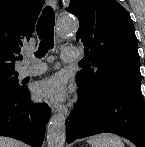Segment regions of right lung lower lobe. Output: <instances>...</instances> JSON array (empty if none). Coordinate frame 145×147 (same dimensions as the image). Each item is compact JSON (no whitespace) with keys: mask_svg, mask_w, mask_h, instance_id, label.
I'll return each mask as SVG.
<instances>
[{"mask_svg":"<svg viewBox=\"0 0 145 147\" xmlns=\"http://www.w3.org/2000/svg\"><path fill=\"white\" fill-rule=\"evenodd\" d=\"M49 118V106L32 102L27 86L16 95H0V136L40 147Z\"/></svg>","mask_w":145,"mask_h":147,"instance_id":"1","label":"right lung lower lobe"}]
</instances>
